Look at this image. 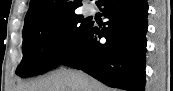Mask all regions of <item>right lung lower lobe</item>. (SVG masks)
Segmentation results:
<instances>
[{"instance_id": "98d812e1", "label": "right lung lower lobe", "mask_w": 173, "mask_h": 91, "mask_svg": "<svg viewBox=\"0 0 173 91\" xmlns=\"http://www.w3.org/2000/svg\"><path fill=\"white\" fill-rule=\"evenodd\" d=\"M103 28L91 23L83 39L61 62L108 86L144 91L147 0H99ZM105 38L101 40V38Z\"/></svg>"}]
</instances>
